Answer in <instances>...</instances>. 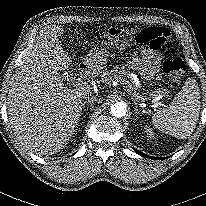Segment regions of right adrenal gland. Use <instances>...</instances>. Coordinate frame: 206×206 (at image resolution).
<instances>
[{
    "label": "right adrenal gland",
    "mask_w": 206,
    "mask_h": 206,
    "mask_svg": "<svg viewBox=\"0 0 206 206\" xmlns=\"http://www.w3.org/2000/svg\"><path fill=\"white\" fill-rule=\"evenodd\" d=\"M87 105H90V109H92L93 108V102L92 101H85V102H83V104H82V108H85Z\"/></svg>",
    "instance_id": "2a0ac1e0"
}]
</instances>
